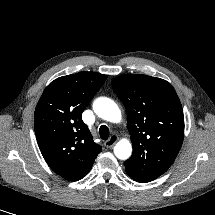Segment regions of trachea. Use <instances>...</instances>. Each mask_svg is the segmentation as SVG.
<instances>
[{
    "instance_id": "trachea-1",
    "label": "trachea",
    "mask_w": 215,
    "mask_h": 215,
    "mask_svg": "<svg viewBox=\"0 0 215 215\" xmlns=\"http://www.w3.org/2000/svg\"><path fill=\"white\" fill-rule=\"evenodd\" d=\"M99 134H100L101 139L107 140L108 137H109V129H108V127L106 125H102L99 128Z\"/></svg>"
}]
</instances>
